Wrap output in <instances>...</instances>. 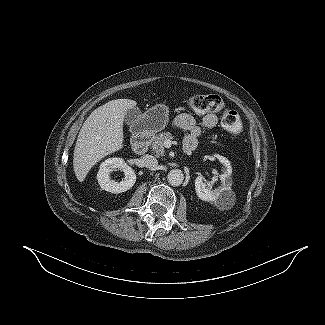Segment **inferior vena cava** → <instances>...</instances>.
<instances>
[{
  "label": "inferior vena cava",
  "mask_w": 325,
  "mask_h": 325,
  "mask_svg": "<svg viewBox=\"0 0 325 325\" xmlns=\"http://www.w3.org/2000/svg\"><path fill=\"white\" fill-rule=\"evenodd\" d=\"M142 163L146 168L155 169L158 166L157 159L152 155H144L142 157Z\"/></svg>",
  "instance_id": "inferior-vena-cava-1"
}]
</instances>
